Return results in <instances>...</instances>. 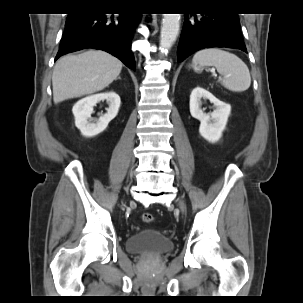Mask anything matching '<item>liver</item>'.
<instances>
[{
  "mask_svg": "<svg viewBox=\"0 0 303 303\" xmlns=\"http://www.w3.org/2000/svg\"><path fill=\"white\" fill-rule=\"evenodd\" d=\"M121 70L122 62L104 51L64 56L57 61L52 75L54 103L101 91Z\"/></svg>",
  "mask_w": 303,
  "mask_h": 303,
  "instance_id": "6515ba94",
  "label": "liver"
}]
</instances>
